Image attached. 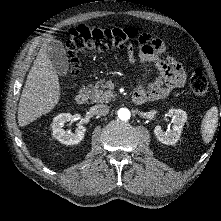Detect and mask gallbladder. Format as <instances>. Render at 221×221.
Returning <instances> with one entry per match:
<instances>
[{
  "label": "gallbladder",
  "instance_id": "bac80fb5",
  "mask_svg": "<svg viewBox=\"0 0 221 221\" xmlns=\"http://www.w3.org/2000/svg\"><path fill=\"white\" fill-rule=\"evenodd\" d=\"M47 52L52 61L56 72L66 77L69 70V62L66 50L61 41H49L47 43Z\"/></svg>",
  "mask_w": 221,
  "mask_h": 221
}]
</instances>
